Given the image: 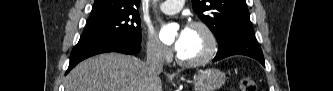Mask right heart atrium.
<instances>
[{
    "label": "right heart atrium",
    "instance_id": "1",
    "mask_svg": "<svg viewBox=\"0 0 333 91\" xmlns=\"http://www.w3.org/2000/svg\"><path fill=\"white\" fill-rule=\"evenodd\" d=\"M144 46L147 56L154 61L164 62L170 57L169 48L150 30L144 31Z\"/></svg>",
    "mask_w": 333,
    "mask_h": 91
}]
</instances>
